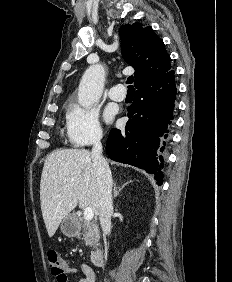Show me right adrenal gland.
<instances>
[{"mask_svg":"<svg viewBox=\"0 0 232 282\" xmlns=\"http://www.w3.org/2000/svg\"><path fill=\"white\" fill-rule=\"evenodd\" d=\"M130 182H127V183L123 184L122 187H119V188H117L116 183H114L113 198L115 199L119 195V192Z\"/></svg>","mask_w":232,"mask_h":282,"instance_id":"1","label":"right adrenal gland"}]
</instances>
